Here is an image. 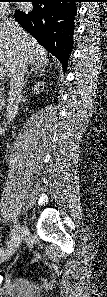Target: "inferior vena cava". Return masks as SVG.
Returning <instances> with one entry per match:
<instances>
[{
  "instance_id": "inferior-vena-cava-1",
  "label": "inferior vena cava",
  "mask_w": 107,
  "mask_h": 297,
  "mask_svg": "<svg viewBox=\"0 0 107 297\" xmlns=\"http://www.w3.org/2000/svg\"><path fill=\"white\" fill-rule=\"evenodd\" d=\"M0 32L16 37L19 33V25L14 19L3 17L0 24ZM30 64L31 61L28 55L24 51H20L10 69V91L6 108V118L8 123L13 121L18 114L19 104L25 86V74L28 73V66Z\"/></svg>"
}]
</instances>
